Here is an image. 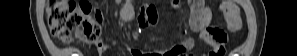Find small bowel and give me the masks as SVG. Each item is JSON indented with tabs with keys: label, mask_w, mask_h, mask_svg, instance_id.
Returning <instances> with one entry per match:
<instances>
[{
	"label": "small bowel",
	"mask_w": 297,
	"mask_h": 56,
	"mask_svg": "<svg viewBox=\"0 0 297 56\" xmlns=\"http://www.w3.org/2000/svg\"><path fill=\"white\" fill-rule=\"evenodd\" d=\"M117 4H121L120 17L124 22H129L134 17V7L131 0H116ZM178 1L174 4L177 5ZM191 17L190 26L193 31L199 32L201 39L212 47V52L225 50V44L228 40L227 33L220 28L210 27V22L212 19V11L209 6L205 5L202 1H190ZM228 11L225 13V19L227 22L228 29L234 31L235 16L232 13V9H235L233 5H228ZM157 21L156 10L153 6H146L142 9L138 24L140 27H147L150 24H154ZM192 46V41L190 39L186 40L182 45L176 46L164 54H145L146 56H190L185 54V52ZM106 46H101L98 48L99 53H103ZM131 53L135 56L139 55L137 50H131Z\"/></svg>",
	"instance_id": "c3829d8e"
}]
</instances>
